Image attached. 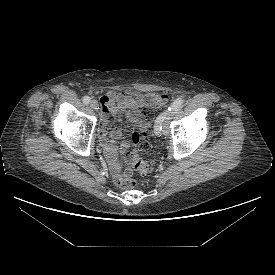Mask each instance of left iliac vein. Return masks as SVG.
<instances>
[{
    "mask_svg": "<svg viewBox=\"0 0 275 275\" xmlns=\"http://www.w3.org/2000/svg\"><path fill=\"white\" fill-rule=\"evenodd\" d=\"M163 115V129H162V133L163 135L167 136L170 133V118L173 115V112L166 110L162 113Z\"/></svg>",
    "mask_w": 275,
    "mask_h": 275,
    "instance_id": "1",
    "label": "left iliac vein"
}]
</instances>
